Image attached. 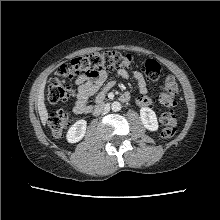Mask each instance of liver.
Segmentation results:
<instances>
[{"label": "liver", "mask_w": 220, "mask_h": 220, "mask_svg": "<svg viewBox=\"0 0 220 220\" xmlns=\"http://www.w3.org/2000/svg\"><path fill=\"white\" fill-rule=\"evenodd\" d=\"M45 84H46V81L44 80L39 87L38 96H37L38 112H39V116H40V119H41V122L43 125H45L48 120V111H47L45 103H44Z\"/></svg>", "instance_id": "6515ba94"}]
</instances>
